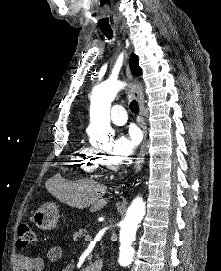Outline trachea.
<instances>
[{"mask_svg":"<svg viewBox=\"0 0 221 271\" xmlns=\"http://www.w3.org/2000/svg\"><path fill=\"white\" fill-rule=\"evenodd\" d=\"M101 30L108 39H112L113 32L110 27H101ZM129 108L132 111V113H134L135 115L139 113V106H138L137 101L135 100L131 101L129 104Z\"/></svg>","mask_w":221,"mask_h":271,"instance_id":"3493384b","label":"trachea"}]
</instances>
